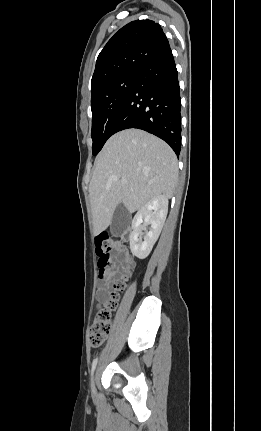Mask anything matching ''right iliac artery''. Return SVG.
<instances>
[{
    "label": "right iliac artery",
    "instance_id": "82829eb1",
    "mask_svg": "<svg viewBox=\"0 0 261 431\" xmlns=\"http://www.w3.org/2000/svg\"><path fill=\"white\" fill-rule=\"evenodd\" d=\"M97 361H98V359L96 358V359H94V360H93V362H92L91 376H93L94 370H95L96 365H97Z\"/></svg>",
    "mask_w": 261,
    "mask_h": 431
}]
</instances>
